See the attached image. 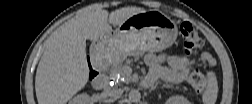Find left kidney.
Returning a JSON list of instances; mask_svg holds the SVG:
<instances>
[{
    "label": "left kidney",
    "mask_w": 252,
    "mask_h": 104,
    "mask_svg": "<svg viewBox=\"0 0 252 104\" xmlns=\"http://www.w3.org/2000/svg\"><path fill=\"white\" fill-rule=\"evenodd\" d=\"M169 104H187L188 101L182 96H172L167 101Z\"/></svg>",
    "instance_id": "1"
}]
</instances>
